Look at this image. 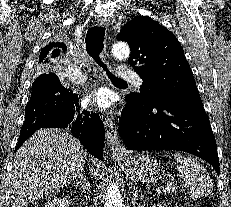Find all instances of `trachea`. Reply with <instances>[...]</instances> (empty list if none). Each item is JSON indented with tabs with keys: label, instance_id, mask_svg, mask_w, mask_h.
Listing matches in <instances>:
<instances>
[{
	"label": "trachea",
	"instance_id": "3493384b",
	"mask_svg": "<svg viewBox=\"0 0 231 207\" xmlns=\"http://www.w3.org/2000/svg\"><path fill=\"white\" fill-rule=\"evenodd\" d=\"M105 28L102 26H94L89 28L85 44L86 51L90 57L106 72L109 79L113 83H126L124 80L115 77L107 68V65L101 60V53L104 49Z\"/></svg>",
	"mask_w": 231,
	"mask_h": 207
}]
</instances>
